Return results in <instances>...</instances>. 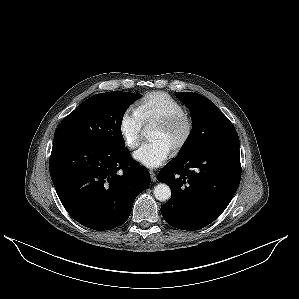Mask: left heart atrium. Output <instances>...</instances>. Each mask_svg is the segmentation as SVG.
Wrapping results in <instances>:
<instances>
[{
    "instance_id": "left-heart-atrium-1",
    "label": "left heart atrium",
    "mask_w": 299,
    "mask_h": 299,
    "mask_svg": "<svg viewBox=\"0 0 299 299\" xmlns=\"http://www.w3.org/2000/svg\"><path fill=\"white\" fill-rule=\"evenodd\" d=\"M170 154L171 149L164 141L152 140L142 144L133 153V158L146 167L156 168L164 164Z\"/></svg>"
}]
</instances>
